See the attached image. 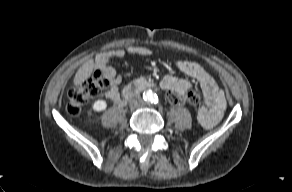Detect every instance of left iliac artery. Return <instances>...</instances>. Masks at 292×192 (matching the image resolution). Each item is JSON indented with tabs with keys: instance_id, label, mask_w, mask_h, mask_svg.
Returning a JSON list of instances; mask_svg holds the SVG:
<instances>
[{
	"instance_id": "obj_1",
	"label": "left iliac artery",
	"mask_w": 292,
	"mask_h": 192,
	"mask_svg": "<svg viewBox=\"0 0 292 192\" xmlns=\"http://www.w3.org/2000/svg\"><path fill=\"white\" fill-rule=\"evenodd\" d=\"M158 102V99L157 100H155V102L154 103H157Z\"/></svg>"
}]
</instances>
